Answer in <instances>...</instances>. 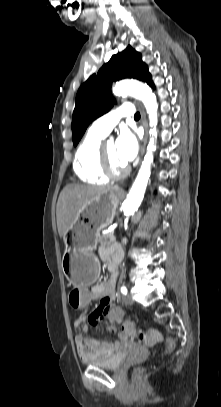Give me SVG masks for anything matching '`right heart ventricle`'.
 Returning <instances> with one entry per match:
<instances>
[{
    "label": "right heart ventricle",
    "mask_w": 221,
    "mask_h": 407,
    "mask_svg": "<svg viewBox=\"0 0 221 407\" xmlns=\"http://www.w3.org/2000/svg\"><path fill=\"white\" fill-rule=\"evenodd\" d=\"M104 135L89 130L80 143L74 158V171L85 183L100 185L108 178L100 167V148Z\"/></svg>",
    "instance_id": "obj_1"
}]
</instances>
